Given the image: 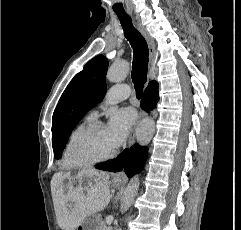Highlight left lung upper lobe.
I'll list each match as a JSON object with an SVG mask.
<instances>
[{
    "label": "left lung upper lobe",
    "mask_w": 241,
    "mask_h": 230,
    "mask_svg": "<svg viewBox=\"0 0 241 230\" xmlns=\"http://www.w3.org/2000/svg\"><path fill=\"white\" fill-rule=\"evenodd\" d=\"M108 64L105 56L94 57L63 92L53 113L52 146L55 158L61 157L69 135L78 122L105 96Z\"/></svg>",
    "instance_id": "1"
}]
</instances>
